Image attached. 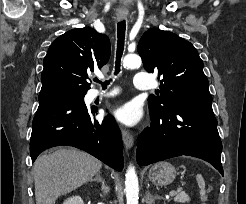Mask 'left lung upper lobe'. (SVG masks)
<instances>
[{"label": "left lung upper lobe", "mask_w": 246, "mask_h": 204, "mask_svg": "<svg viewBox=\"0 0 246 204\" xmlns=\"http://www.w3.org/2000/svg\"><path fill=\"white\" fill-rule=\"evenodd\" d=\"M146 71H158L160 91L148 98L149 111L158 114L176 102H212L203 62L194 46L174 33L149 29L138 43Z\"/></svg>", "instance_id": "1"}]
</instances>
